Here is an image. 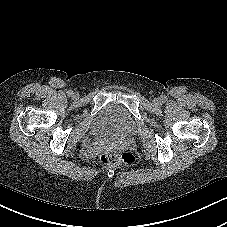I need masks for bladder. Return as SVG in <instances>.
Segmentation results:
<instances>
[{"label":"bladder","mask_w":227,"mask_h":227,"mask_svg":"<svg viewBox=\"0 0 227 227\" xmlns=\"http://www.w3.org/2000/svg\"><path fill=\"white\" fill-rule=\"evenodd\" d=\"M136 122L129 110L121 103L108 102L95 117L93 129L99 135L123 139L136 132Z\"/></svg>","instance_id":"31cf9c89"}]
</instances>
